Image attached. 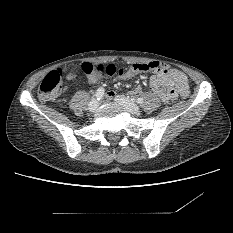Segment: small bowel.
Masks as SVG:
<instances>
[{"label":"small bowel","mask_w":233,"mask_h":233,"mask_svg":"<svg viewBox=\"0 0 233 233\" xmlns=\"http://www.w3.org/2000/svg\"><path fill=\"white\" fill-rule=\"evenodd\" d=\"M138 73H133L128 76L120 75L119 78H131ZM91 82H96L97 78H90ZM150 87L163 103H168L178 97V92L184 87H188V81L185 74L173 68L163 67L159 72L150 76ZM139 89L133 91L137 93Z\"/></svg>","instance_id":"c3829d8e"}]
</instances>
